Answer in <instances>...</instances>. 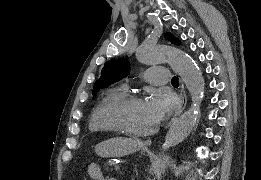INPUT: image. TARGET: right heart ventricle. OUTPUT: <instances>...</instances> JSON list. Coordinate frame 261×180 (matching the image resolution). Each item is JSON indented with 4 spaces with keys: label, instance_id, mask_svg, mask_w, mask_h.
<instances>
[{
    "label": "right heart ventricle",
    "instance_id": "obj_1",
    "mask_svg": "<svg viewBox=\"0 0 261 180\" xmlns=\"http://www.w3.org/2000/svg\"><path fill=\"white\" fill-rule=\"evenodd\" d=\"M123 95L124 92L119 88L108 89L94 106L88 122V133L108 134L107 138H92L95 142H102L116 137L110 121L109 110Z\"/></svg>",
    "mask_w": 261,
    "mask_h": 180
}]
</instances>
